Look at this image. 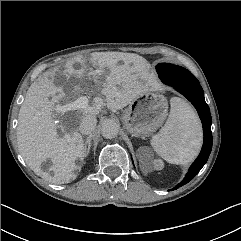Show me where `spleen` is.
Here are the masks:
<instances>
[{"mask_svg":"<svg viewBox=\"0 0 241 241\" xmlns=\"http://www.w3.org/2000/svg\"><path fill=\"white\" fill-rule=\"evenodd\" d=\"M170 114L159 133L151 139L158 155L172 164H188L198 155L202 145L200 120L185 100L173 97Z\"/></svg>","mask_w":241,"mask_h":241,"instance_id":"3e777b00","label":"spleen"}]
</instances>
